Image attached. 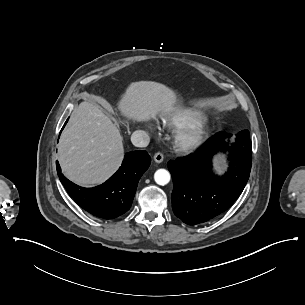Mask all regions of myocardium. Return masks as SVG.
Wrapping results in <instances>:
<instances>
[{"mask_svg":"<svg viewBox=\"0 0 305 305\" xmlns=\"http://www.w3.org/2000/svg\"><path fill=\"white\" fill-rule=\"evenodd\" d=\"M212 121L201 119L191 122L181 128L178 144L185 149H194L204 145L212 134Z\"/></svg>","mask_w":305,"mask_h":305,"instance_id":"obj_1","label":"myocardium"}]
</instances>
